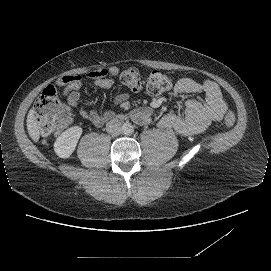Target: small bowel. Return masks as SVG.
<instances>
[{
  "instance_id": "1",
  "label": "small bowel",
  "mask_w": 271,
  "mask_h": 271,
  "mask_svg": "<svg viewBox=\"0 0 271 271\" xmlns=\"http://www.w3.org/2000/svg\"><path fill=\"white\" fill-rule=\"evenodd\" d=\"M119 73L117 67L108 70L100 69L92 71L88 76L93 84L100 88H110L114 84V77ZM61 88L62 96L67 103L76 107L80 101V89L82 77L76 74L65 75L56 81ZM130 90V89H129ZM129 92H122L115 96L114 102L122 104L130 97ZM189 94L190 97L183 102V108L178 112H169L158 120V126L164 129H173L182 135L198 134L206 130L212 123L220 121L227 110L226 102L222 96L219 86L206 80L199 83L190 78H181L175 84L171 95L178 97ZM84 120L90 121L99 127L113 117L110 110L98 112L96 110H81ZM134 119L140 124H146L151 120L152 111L142 108L134 113Z\"/></svg>"
}]
</instances>
